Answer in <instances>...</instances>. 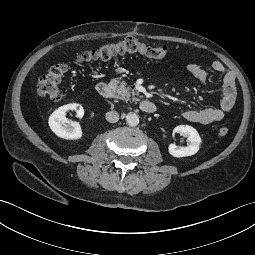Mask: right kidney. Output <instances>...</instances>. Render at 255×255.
<instances>
[{
	"label": "right kidney",
	"instance_id": "obj_1",
	"mask_svg": "<svg viewBox=\"0 0 255 255\" xmlns=\"http://www.w3.org/2000/svg\"><path fill=\"white\" fill-rule=\"evenodd\" d=\"M69 110H75L77 117L82 118L84 116V109L80 104L70 103L63 105L56 109L49 117L50 129L60 138L67 140H77L82 137V130L77 122H71L72 128L66 123H69L66 118V112Z\"/></svg>",
	"mask_w": 255,
	"mask_h": 255
}]
</instances>
